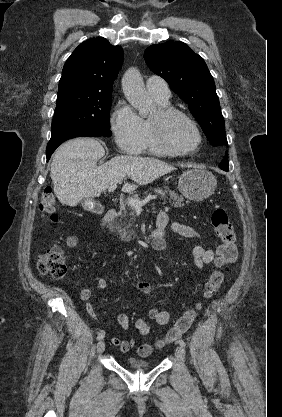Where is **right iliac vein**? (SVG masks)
Wrapping results in <instances>:
<instances>
[{"mask_svg":"<svg viewBox=\"0 0 282 417\" xmlns=\"http://www.w3.org/2000/svg\"><path fill=\"white\" fill-rule=\"evenodd\" d=\"M105 350V343L103 341H99L97 343V353L102 354Z\"/></svg>","mask_w":282,"mask_h":417,"instance_id":"right-iliac-vein-1","label":"right iliac vein"}]
</instances>
